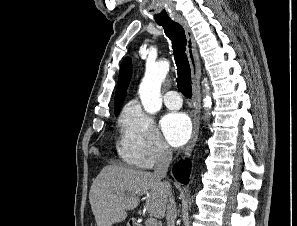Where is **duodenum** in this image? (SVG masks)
<instances>
[{"label": "duodenum", "instance_id": "410a0bca", "mask_svg": "<svg viewBox=\"0 0 297 226\" xmlns=\"http://www.w3.org/2000/svg\"><path fill=\"white\" fill-rule=\"evenodd\" d=\"M129 226H143V225L136 220H130Z\"/></svg>", "mask_w": 297, "mask_h": 226}]
</instances>
